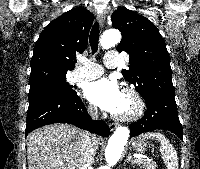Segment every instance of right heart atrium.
Returning a JSON list of instances; mask_svg holds the SVG:
<instances>
[{
	"mask_svg": "<svg viewBox=\"0 0 200 169\" xmlns=\"http://www.w3.org/2000/svg\"><path fill=\"white\" fill-rule=\"evenodd\" d=\"M87 114L91 117H95L97 115V110L93 105H88L86 107Z\"/></svg>",
	"mask_w": 200,
	"mask_h": 169,
	"instance_id": "obj_1",
	"label": "right heart atrium"
}]
</instances>
